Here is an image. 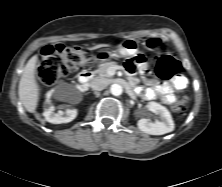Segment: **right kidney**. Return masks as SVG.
Returning <instances> with one entry per match:
<instances>
[{
  "label": "right kidney",
  "instance_id": "1",
  "mask_svg": "<svg viewBox=\"0 0 222 187\" xmlns=\"http://www.w3.org/2000/svg\"><path fill=\"white\" fill-rule=\"evenodd\" d=\"M52 96L60 100L62 99L56 92L50 91L47 93L46 103L49 104V107L45 109L43 113L46 121L53 124H61L68 123L74 120L78 114L77 109H66L65 112L60 110L55 113V108L53 105H51L50 100Z\"/></svg>",
  "mask_w": 222,
  "mask_h": 187
}]
</instances>
